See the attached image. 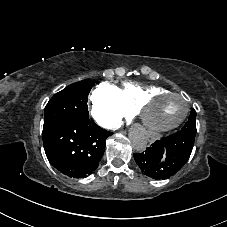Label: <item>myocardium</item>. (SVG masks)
Masks as SVG:
<instances>
[{
	"label": "myocardium",
	"mask_w": 227,
	"mask_h": 227,
	"mask_svg": "<svg viewBox=\"0 0 227 227\" xmlns=\"http://www.w3.org/2000/svg\"><path fill=\"white\" fill-rule=\"evenodd\" d=\"M180 96L182 97L185 102H186V107L184 110L183 115L173 124H171L170 126L167 127H162V128H158V127H153L150 126L146 123L143 112L145 110V108L152 103L153 101L157 100L158 98L162 97V96ZM190 111V100L188 98V96L180 91H169V90H165V91H161V92H156L153 94H149L147 96H145L136 106L135 108V114L138 118L139 123L145 128V130H147L148 132H169V131H173L176 128H178L187 118L188 114Z\"/></svg>",
	"instance_id": "obj_1"
}]
</instances>
